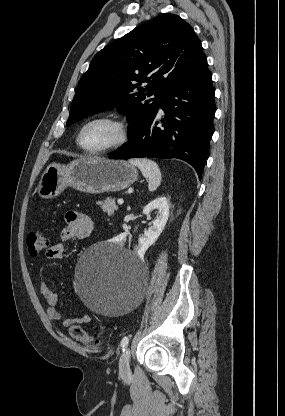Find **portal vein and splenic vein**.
Returning <instances> with one entry per match:
<instances>
[{
    "label": "portal vein and splenic vein",
    "mask_w": 285,
    "mask_h": 416,
    "mask_svg": "<svg viewBox=\"0 0 285 416\" xmlns=\"http://www.w3.org/2000/svg\"><path fill=\"white\" fill-rule=\"evenodd\" d=\"M117 204H124V200H117Z\"/></svg>",
    "instance_id": "18ae733b"
}]
</instances>
